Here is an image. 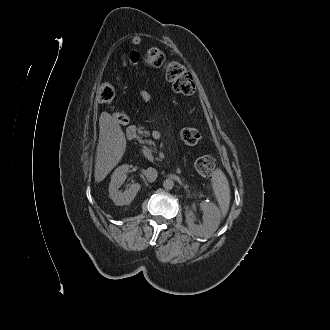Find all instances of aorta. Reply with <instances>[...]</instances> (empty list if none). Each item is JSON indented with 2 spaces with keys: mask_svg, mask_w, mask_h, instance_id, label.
Listing matches in <instances>:
<instances>
[{
  "mask_svg": "<svg viewBox=\"0 0 330 330\" xmlns=\"http://www.w3.org/2000/svg\"><path fill=\"white\" fill-rule=\"evenodd\" d=\"M163 187H164L166 190H171V189L174 187V182H173V180H171V179H166V180H164V182H163Z\"/></svg>",
  "mask_w": 330,
  "mask_h": 330,
  "instance_id": "762f6f07",
  "label": "aorta"
}]
</instances>
